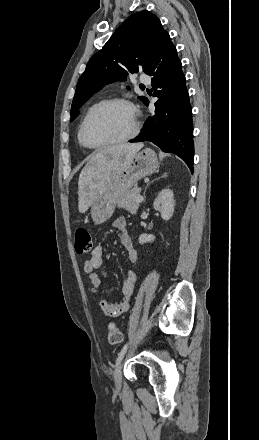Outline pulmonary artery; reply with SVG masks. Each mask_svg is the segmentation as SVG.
<instances>
[{
  "mask_svg": "<svg viewBox=\"0 0 259 440\" xmlns=\"http://www.w3.org/2000/svg\"><path fill=\"white\" fill-rule=\"evenodd\" d=\"M140 81L142 82V83H144V84H149L150 83V77L149 76H147V75H142L141 77H140Z\"/></svg>",
  "mask_w": 259,
  "mask_h": 440,
  "instance_id": "1",
  "label": "pulmonary artery"
}]
</instances>
